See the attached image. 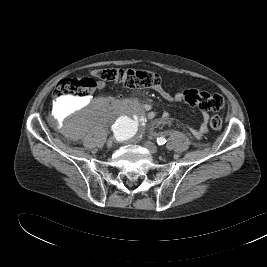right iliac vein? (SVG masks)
<instances>
[{"label": "right iliac vein", "instance_id": "63e3f726", "mask_svg": "<svg viewBox=\"0 0 267 267\" xmlns=\"http://www.w3.org/2000/svg\"><path fill=\"white\" fill-rule=\"evenodd\" d=\"M113 143H114V138H110L108 141H107V147L108 148H111L113 146Z\"/></svg>", "mask_w": 267, "mask_h": 267}]
</instances>
